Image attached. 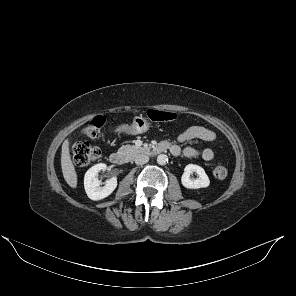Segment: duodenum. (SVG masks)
I'll list each match as a JSON object with an SVG mask.
<instances>
[{
    "mask_svg": "<svg viewBox=\"0 0 296 296\" xmlns=\"http://www.w3.org/2000/svg\"><path fill=\"white\" fill-rule=\"evenodd\" d=\"M168 150L166 145H159L157 147L146 148L145 153L148 155H156ZM126 156L121 152H112L109 156V160L114 165H123L126 162Z\"/></svg>",
    "mask_w": 296,
    "mask_h": 296,
    "instance_id": "obj_1",
    "label": "duodenum"
}]
</instances>
